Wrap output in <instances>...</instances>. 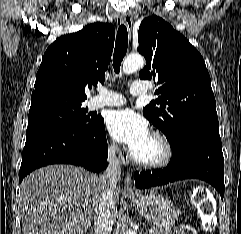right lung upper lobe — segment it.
I'll use <instances>...</instances> for the list:
<instances>
[{
    "label": "right lung upper lobe",
    "mask_w": 241,
    "mask_h": 234,
    "mask_svg": "<svg viewBox=\"0 0 241 234\" xmlns=\"http://www.w3.org/2000/svg\"><path fill=\"white\" fill-rule=\"evenodd\" d=\"M114 38L111 24L97 22L56 39L43 56L31 105L55 100L84 104L85 87L104 83Z\"/></svg>",
    "instance_id": "1"
}]
</instances>
